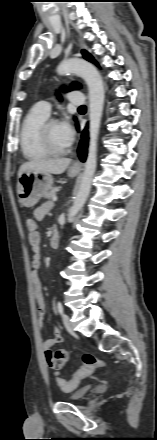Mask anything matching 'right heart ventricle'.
<instances>
[{"instance_id": "1", "label": "right heart ventricle", "mask_w": 157, "mask_h": 440, "mask_svg": "<svg viewBox=\"0 0 157 440\" xmlns=\"http://www.w3.org/2000/svg\"><path fill=\"white\" fill-rule=\"evenodd\" d=\"M46 119H48V115L40 111L37 106L29 110L23 119L20 131V145L23 154L29 159H37L49 155L40 143L38 136L40 125Z\"/></svg>"}]
</instances>
